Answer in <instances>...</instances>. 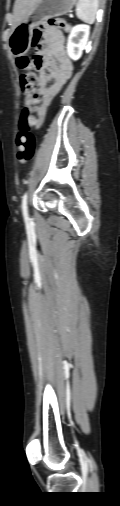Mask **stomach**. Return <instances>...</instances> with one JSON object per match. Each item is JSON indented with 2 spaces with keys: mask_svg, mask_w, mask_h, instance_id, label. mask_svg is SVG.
Wrapping results in <instances>:
<instances>
[{
  "mask_svg": "<svg viewBox=\"0 0 120 506\" xmlns=\"http://www.w3.org/2000/svg\"><path fill=\"white\" fill-rule=\"evenodd\" d=\"M77 0H40L27 14L25 19L10 32L9 49L14 57L28 52L31 46L33 28L50 17L68 13Z\"/></svg>",
  "mask_w": 120,
  "mask_h": 506,
  "instance_id": "obj_1",
  "label": "stomach"
}]
</instances>
